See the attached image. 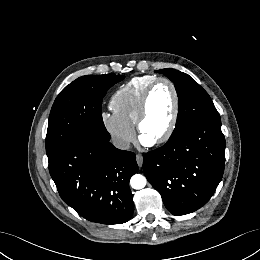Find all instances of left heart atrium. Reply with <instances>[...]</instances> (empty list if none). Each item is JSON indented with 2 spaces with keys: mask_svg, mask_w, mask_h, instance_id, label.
<instances>
[{
  "mask_svg": "<svg viewBox=\"0 0 260 260\" xmlns=\"http://www.w3.org/2000/svg\"><path fill=\"white\" fill-rule=\"evenodd\" d=\"M141 143L142 144H144V145H150L151 143H152V140H150V139H147V138H145V137H141Z\"/></svg>",
  "mask_w": 260,
  "mask_h": 260,
  "instance_id": "left-heart-atrium-1",
  "label": "left heart atrium"
}]
</instances>
